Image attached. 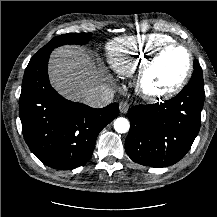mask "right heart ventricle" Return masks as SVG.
<instances>
[{"label":"right heart ventricle","instance_id":"1","mask_svg":"<svg viewBox=\"0 0 217 217\" xmlns=\"http://www.w3.org/2000/svg\"><path fill=\"white\" fill-rule=\"evenodd\" d=\"M171 38L160 33L118 37L107 45V62L120 75L135 73L144 61Z\"/></svg>","mask_w":217,"mask_h":217}]
</instances>
